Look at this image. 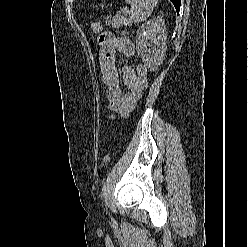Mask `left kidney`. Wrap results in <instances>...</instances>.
<instances>
[{
    "label": "left kidney",
    "instance_id": "left-kidney-1",
    "mask_svg": "<svg viewBox=\"0 0 248 247\" xmlns=\"http://www.w3.org/2000/svg\"><path fill=\"white\" fill-rule=\"evenodd\" d=\"M167 32L162 13L142 24L136 37V49L139 57L150 71H155L161 65L166 52ZM150 43L152 51L148 49Z\"/></svg>",
    "mask_w": 248,
    "mask_h": 247
}]
</instances>
